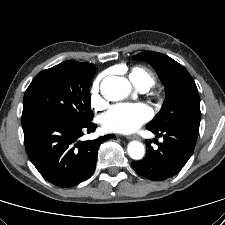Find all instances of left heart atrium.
<instances>
[{
  "label": "left heart atrium",
  "instance_id": "obj_1",
  "mask_svg": "<svg viewBox=\"0 0 225 225\" xmlns=\"http://www.w3.org/2000/svg\"><path fill=\"white\" fill-rule=\"evenodd\" d=\"M151 116V109L143 103H120L102 115L101 123L106 131L127 134L136 131Z\"/></svg>",
  "mask_w": 225,
  "mask_h": 225
}]
</instances>
